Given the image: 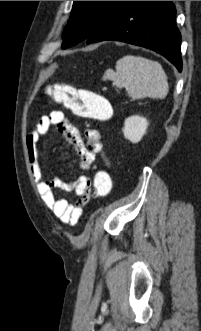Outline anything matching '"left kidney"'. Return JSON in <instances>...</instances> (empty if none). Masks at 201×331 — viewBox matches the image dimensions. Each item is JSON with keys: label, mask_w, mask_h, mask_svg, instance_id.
Wrapping results in <instances>:
<instances>
[{"label": "left kidney", "mask_w": 201, "mask_h": 331, "mask_svg": "<svg viewBox=\"0 0 201 331\" xmlns=\"http://www.w3.org/2000/svg\"><path fill=\"white\" fill-rule=\"evenodd\" d=\"M148 122L146 118L135 115L124 122L123 134L132 143H138L146 133Z\"/></svg>", "instance_id": "5707ae66"}]
</instances>
